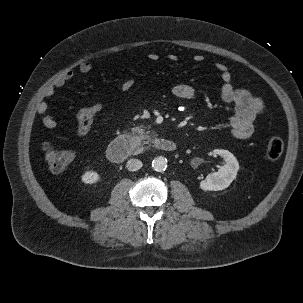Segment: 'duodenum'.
<instances>
[{
    "label": "duodenum",
    "mask_w": 303,
    "mask_h": 303,
    "mask_svg": "<svg viewBox=\"0 0 303 303\" xmlns=\"http://www.w3.org/2000/svg\"><path fill=\"white\" fill-rule=\"evenodd\" d=\"M153 146L163 152H174L177 145L174 141L166 138H154ZM134 137L131 135H121L115 138L108 146L107 157L110 161L120 163L131 155L136 149Z\"/></svg>",
    "instance_id": "1"
}]
</instances>
